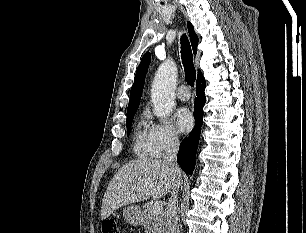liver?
I'll return each instance as SVG.
<instances>
[{
	"label": "liver",
	"mask_w": 306,
	"mask_h": 233,
	"mask_svg": "<svg viewBox=\"0 0 306 233\" xmlns=\"http://www.w3.org/2000/svg\"><path fill=\"white\" fill-rule=\"evenodd\" d=\"M175 179L173 169L163 160L140 158L118 170L109 183L101 206L105 220L122 206L164 197Z\"/></svg>",
	"instance_id": "6515ba94"
}]
</instances>
